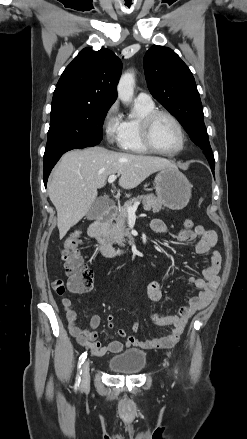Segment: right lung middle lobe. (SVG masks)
Segmentation results:
<instances>
[{
  "mask_svg": "<svg viewBox=\"0 0 247 439\" xmlns=\"http://www.w3.org/2000/svg\"><path fill=\"white\" fill-rule=\"evenodd\" d=\"M110 106L60 104L52 106L44 164L72 149L95 146Z\"/></svg>",
  "mask_w": 247,
  "mask_h": 439,
  "instance_id": "dd1d6c3e",
  "label": "right lung middle lobe"
}]
</instances>
